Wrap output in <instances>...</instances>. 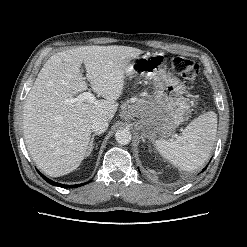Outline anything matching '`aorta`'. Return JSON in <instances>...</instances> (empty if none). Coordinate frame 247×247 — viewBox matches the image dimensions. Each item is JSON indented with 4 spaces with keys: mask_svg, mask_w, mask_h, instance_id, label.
I'll return each instance as SVG.
<instances>
[{
    "mask_svg": "<svg viewBox=\"0 0 247 247\" xmlns=\"http://www.w3.org/2000/svg\"><path fill=\"white\" fill-rule=\"evenodd\" d=\"M131 132L128 129H120L115 133V139L120 145H127L131 142Z\"/></svg>",
    "mask_w": 247,
    "mask_h": 247,
    "instance_id": "762f6f07",
    "label": "aorta"
}]
</instances>
